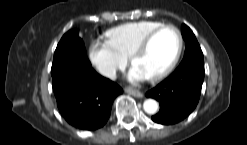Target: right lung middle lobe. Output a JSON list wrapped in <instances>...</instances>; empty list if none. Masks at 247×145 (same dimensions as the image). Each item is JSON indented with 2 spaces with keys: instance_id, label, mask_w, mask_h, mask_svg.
Wrapping results in <instances>:
<instances>
[{
  "instance_id": "right-lung-middle-lobe-1",
  "label": "right lung middle lobe",
  "mask_w": 247,
  "mask_h": 145,
  "mask_svg": "<svg viewBox=\"0 0 247 145\" xmlns=\"http://www.w3.org/2000/svg\"><path fill=\"white\" fill-rule=\"evenodd\" d=\"M86 56L85 46L76 30L68 31L60 40L54 53L52 67L67 58Z\"/></svg>"
}]
</instances>
